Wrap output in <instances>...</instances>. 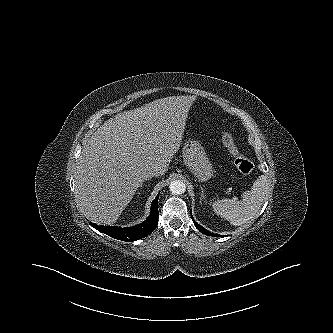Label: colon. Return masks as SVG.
Instances as JSON below:
<instances>
[{
    "instance_id": "5ec220e1",
    "label": "colon",
    "mask_w": 333,
    "mask_h": 333,
    "mask_svg": "<svg viewBox=\"0 0 333 333\" xmlns=\"http://www.w3.org/2000/svg\"><path fill=\"white\" fill-rule=\"evenodd\" d=\"M222 142L233 158L236 169L243 175L251 174L254 170V165L240 152L231 132L226 131L223 133Z\"/></svg>"
}]
</instances>
